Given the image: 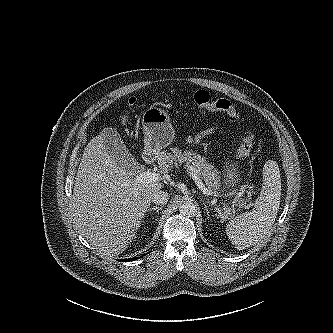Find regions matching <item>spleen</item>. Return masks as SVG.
I'll return each mask as SVG.
<instances>
[{
    "mask_svg": "<svg viewBox=\"0 0 333 333\" xmlns=\"http://www.w3.org/2000/svg\"><path fill=\"white\" fill-rule=\"evenodd\" d=\"M281 199L280 170L276 161L268 160L263 167V186L254 208L231 219L226 234L237 250L257 244L275 222Z\"/></svg>",
    "mask_w": 333,
    "mask_h": 333,
    "instance_id": "1",
    "label": "spleen"
}]
</instances>
